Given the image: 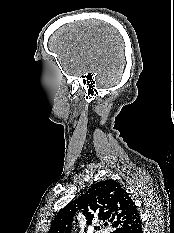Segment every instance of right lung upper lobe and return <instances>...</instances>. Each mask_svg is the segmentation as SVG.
Wrapping results in <instances>:
<instances>
[{"instance_id":"right-lung-upper-lobe-1","label":"right lung upper lobe","mask_w":174,"mask_h":233,"mask_svg":"<svg viewBox=\"0 0 174 233\" xmlns=\"http://www.w3.org/2000/svg\"><path fill=\"white\" fill-rule=\"evenodd\" d=\"M78 210L86 216L87 224L98 220L113 222V233H132L141 225L134 202L120 183L112 179L93 184L68 203L55 216L48 233H71Z\"/></svg>"}]
</instances>
